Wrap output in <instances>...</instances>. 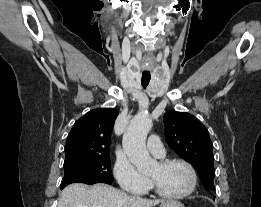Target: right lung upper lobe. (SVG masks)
I'll return each mask as SVG.
<instances>
[{"label":"right lung upper lobe","mask_w":261,"mask_h":207,"mask_svg":"<svg viewBox=\"0 0 261 207\" xmlns=\"http://www.w3.org/2000/svg\"><path fill=\"white\" fill-rule=\"evenodd\" d=\"M118 111L98 108L78 119L67 137L65 161L109 156L111 132Z\"/></svg>","instance_id":"obj_1"}]
</instances>
